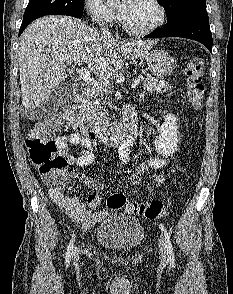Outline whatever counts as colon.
<instances>
[{
  "instance_id": "1",
  "label": "colon",
  "mask_w": 233,
  "mask_h": 294,
  "mask_svg": "<svg viewBox=\"0 0 233 294\" xmlns=\"http://www.w3.org/2000/svg\"><path fill=\"white\" fill-rule=\"evenodd\" d=\"M204 60L199 56L191 57L187 67V92L190 105L200 110L203 104L205 86ZM60 122L56 117H49L35 123L28 131L25 145L32 164L49 180L56 189H64L68 182L66 167L67 159L58 154V147L54 139V132ZM107 207L119 209L125 207L129 213L142 215L153 220L166 213L164 204L159 200L148 203H127L125 195L121 193L111 195L107 200Z\"/></svg>"
}]
</instances>
